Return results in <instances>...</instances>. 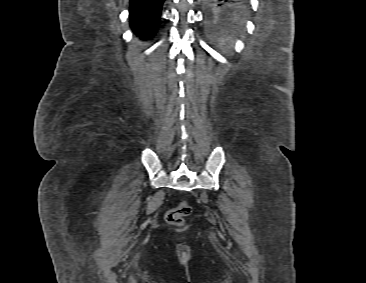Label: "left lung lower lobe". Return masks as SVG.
<instances>
[{"mask_svg":"<svg viewBox=\"0 0 366 283\" xmlns=\"http://www.w3.org/2000/svg\"><path fill=\"white\" fill-rule=\"evenodd\" d=\"M249 0H201L204 8L211 14H231L244 9Z\"/></svg>","mask_w":366,"mask_h":283,"instance_id":"left-lung-lower-lobe-1","label":"left lung lower lobe"}]
</instances>
